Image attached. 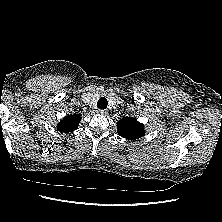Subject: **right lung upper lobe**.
<instances>
[{
  "instance_id": "1",
  "label": "right lung upper lobe",
  "mask_w": 222,
  "mask_h": 222,
  "mask_svg": "<svg viewBox=\"0 0 222 222\" xmlns=\"http://www.w3.org/2000/svg\"><path fill=\"white\" fill-rule=\"evenodd\" d=\"M81 117L78 114L67 115L57 125V129L64 133H69L77 129L79 126Z\"/></svg>"
}]
</instances>
